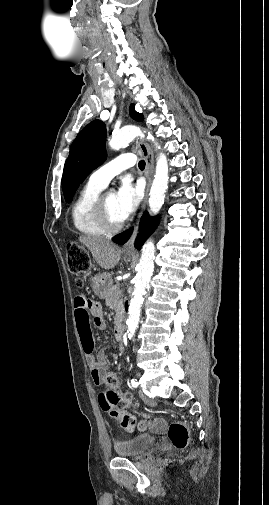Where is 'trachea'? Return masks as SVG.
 I'll return each instance as SVG.
<instances>
[{
	"label": "trachea",
	"instance_id": "obj_1",
	"mask_svg": "<svg viewBox=\"0 0 269 505\" xmlns=\"http://www.w3.org/2000/svg\"><path fill=\"white\" fill-rule=\"evenodd\" d=\"M138 167L139 169L143 170L145 168V161L144 160L139 161Z\"/></svg>",
	"mask_w": 269,
	"mask_h": 505
}]
</instances>
